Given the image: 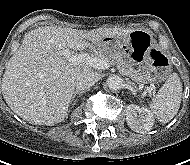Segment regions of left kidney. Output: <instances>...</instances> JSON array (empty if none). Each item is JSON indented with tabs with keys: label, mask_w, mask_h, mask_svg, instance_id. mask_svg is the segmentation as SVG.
<instances>
[{
	"label": "left kidney",
	"mask_w": 190,
	"mask_h": 165,
	"mask_svg": "<svg viewBox=\"0 0 190 165\" xmlns=\"http://www.w3.org/2000/svg\"><path fill=\"white\" fill-rule=\"evenodd\" d=\"M154 116L146 108L130 104L126 107V121L129 127L137 133H147L154 125Z\"/></svg>",
	"instance_id": "obj_1"
}]
</instances>
